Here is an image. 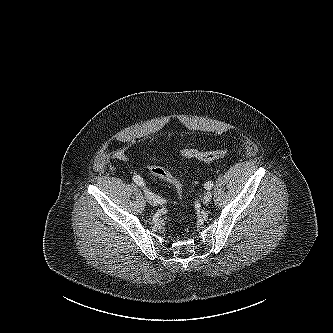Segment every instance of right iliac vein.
<instances>
[{
  "instance_id": "obj_1",
  "label": "right iliac vein",
  "mask_w": 333,
  "mask_h": 333,
  "mask_svg": "<svg viewBox=\"0 0 333 333\" xmlns=\"http://www.w3.org/2000/svg\"><path fill=\"white\" fill-rule=\"evenodd\" d=\"M144 195H145V198L147 199V201H148L151 205L156 206L157 204H159V203L156 201L155 197H152V196L148 193V191H144Z\"/></svg>"
}]
</instances>
